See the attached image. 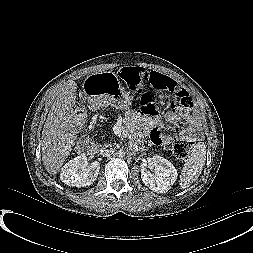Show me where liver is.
Instances as JSON below:
<instances>
[{
    "label": "liver",
    "instance_id": "6515ba94",
    "mask_svg": "<svg viewBox=\"0 0 253 253\" xmlns=\"http://www.w3.org/2000/svg\"><path fill=\"white\" fill-rule=\"evenodd\" d=\"M77 84H64L55 93V100L42 131V161L50 174H57L77 139L79 119L76 107Z\"/></svg>",
    "mask_w": 253,
    "mask_h": 253
}]
</instances>
